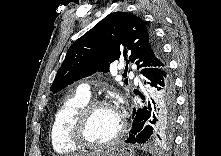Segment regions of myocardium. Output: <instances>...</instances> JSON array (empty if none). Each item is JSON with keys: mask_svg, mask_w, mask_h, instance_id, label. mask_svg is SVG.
<instances>
[{"mask_svg": "<svg viewBox=\"0 0 221 156\" xmlns=\"http://www.w3.org/2000/svg\"><path fill=\"white\" fill-rule=\"evenodd\" d=\"M109 107L113 105L106 100H90L86 103L74 116L69 130L71 141L80 148L87 149H104L115 145L123 136L126 126L124 121L119 117L120 125L117 133L107 142L93 143L86 138L85 130L91 115L99 108Z\"/></svg>", "mask_w": 221, "mask_h": 156, "instance_id": "obj_1", "label": "myocardium"}]
</instances>
